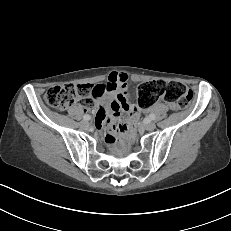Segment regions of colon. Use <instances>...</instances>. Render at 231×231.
Listing matches in <instances>:
<instances>
[{"mask_svg": "<svg viewBox=\"0 0 231 231\" xmlns=\"http://www.w3.org/2000/svg\"><path fill=\"white\" fill-rule=\"evenodd\" d=\"M137 101L140 109L150 107L156 101L163 99L173 109L188 107L192 99L191 91L175 81L153 80L141 83L137 88ZM44 102L57 110H65L75 102L90 103L91 89L89 85L64 84L52 87L46 91ZM138 119V110L130 112V117L125 122L115 125L116 132L124 133L133 139L132 130Z\"/></svg>", "mask_w": 231, "mask_h": 231, "instance_id": "obj_1", "label": "colon"}]
</instances>
